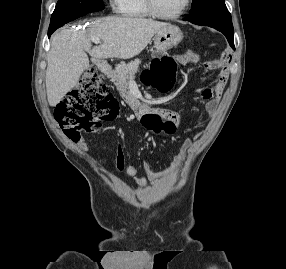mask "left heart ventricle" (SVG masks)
Instances as JSON below:
<instances>
[{
	"label": "left heart ventricle",
	"mask_w": 286,
	"mask_h": 269,
	"mask_svg": "<svg viewBox=\"0 0 286 269\" xmlns=\"http://www.w3.org/2000/svg\"><path fill=\"white\" fill-rule=\"evenodd\" d=\"M157 9L163 14H173L179 11L185 0H154Z\"/></svg>",
	"instance_id": "obj_1"
}]
</instances>
